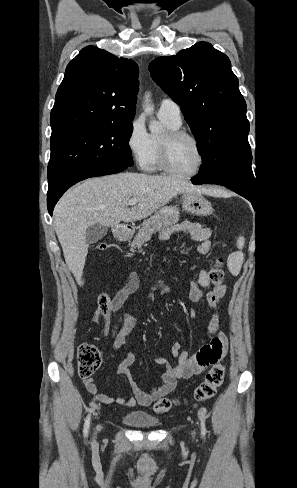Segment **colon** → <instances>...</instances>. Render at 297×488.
I'll return each instance as SVG.
<instances>
[{
	"label": "colon",
	"mask_w": 297,
	"mask_h": 488,
	"mask_svg": "<svg viewBox=\"0 0 297 488\" xmlns=\"http://www.w3.org/2000/svg\"><path fill=\"white\" fill-rule=\"evenodd\" d=\"M97 248L99 250L117 249V246L111 243H100ZM222 260L214 258L210 264L209 277L215 286H220L223 283V272L221 269ZM111 311V299L103 293L99 296V312L103 315L109 314ZM78 372L82 378L91 377L100 367L102 362V354L98 347L92 344H81L77 350ZM225 367L221 362L214 364L206 373L203 381L196 387L194 391V399L197 402H204L212 398L217 389L224 380ZM179 403L178 399L162 397L154 405V410L157 413H165Z\"/></svg>",
	"instance_id": "5ec220e1"
}]
</instances>
